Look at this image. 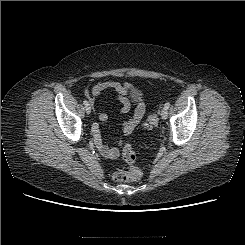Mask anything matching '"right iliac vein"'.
<instances>
[{
  "label": "right iliac vein",
  "instance_id": "63e3f726",
  "mask_svg": "<svg viewBox=\"0 0 245 245\" xmlns=\"http://www.w3.org/2000/svg\"><path fill=\"white\" fill-rule=\"evenodd\" d=\"M86 113H87V114H90V113H91V107H90V106H87V107H86Z\"/></svg>",
  "mask_w": 245,
  "mask_h": 245
}]
</instances>
